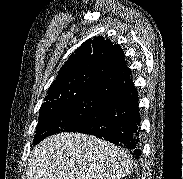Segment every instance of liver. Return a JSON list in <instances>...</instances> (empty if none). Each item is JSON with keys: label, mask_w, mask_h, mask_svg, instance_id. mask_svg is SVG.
<instances>
[{"label": "liver", "mask_w": 183, "mask_h": 179, "mask_svg": "<svg viewBox=\"0 0 183 179\" xmlns=\"http://www.w3.org/2000/svg\"><path fill=\"white\" fill-rule=\"evenodd\" d=\"M133 170L120 147L81 133H60L40 142L30 154L27 179H121Z\"/></svg>", "instance_id": "6515ba94"}]
</instances>
